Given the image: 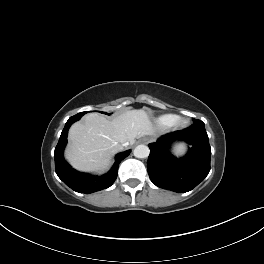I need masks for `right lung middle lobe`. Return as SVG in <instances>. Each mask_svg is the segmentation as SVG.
Returning <instances> with one entry per match:
<instances>
[{
	"label": "right lung middle lobe",
	"instance_id": "right-lung-middle-lobe-1",
	"mask_svg": "<svg viewBox=\"0 0 264 264\" xmlns=\"http://www.w3.org/2000/svg\"><path fill=\"white\" fill-rule=\"evenodd\" d=\"M86 112H81V113H78V114H80V115H84ZM102 113H104V112H102ZM105 114H107V113H105Z\"/></svg>",
	"mask_w": 264,
	"mask_h": 264
}]
</instances>
